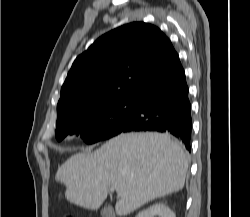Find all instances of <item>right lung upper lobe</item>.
Instances as JSON below:
<instances>
[{
	"instance_id": "cb5924a9",
	"label": "right lung upper lobe",
	"mask_w": 250,
	"mask_h": 217,
	"mask_svg": "<svg viewBox=\"0 0 250 217\" xmlns=\"http://www.w3.org/2000/svg\"><path fill=\"white\" fill-rule=\"evenodd\" d=\"M179 61L154 25L134 22L104 34L75 59L61 88L57 123L105 102L133 98Z\"/></svg>"
}]
</instances>
